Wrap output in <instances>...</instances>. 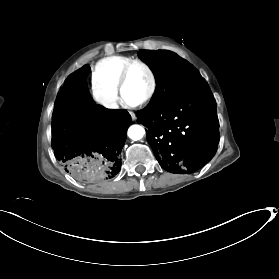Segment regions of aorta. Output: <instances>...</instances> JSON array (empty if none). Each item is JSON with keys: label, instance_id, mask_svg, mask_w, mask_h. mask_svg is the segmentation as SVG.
Returning <instances> with one entry per match:
<instances>
[{"label": "aorta", "instance_id": "762f6f07", "mask_svg": "<svg viewBox=\"0 0 279 279\" xmlns=\"http://www.w3.org/2000/svg\"><path fill=\"white\" fill-rule=\"evenodd\" d=\"M127 134L133 141H138L145 135V129L142 126L135 124L129 127Z\"/></svg>", "mask_w": 279, "mask_h": 279}]
</instances>
